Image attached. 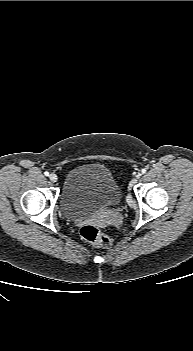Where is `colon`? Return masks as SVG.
<instances>
[{
    "label": "colon",
    "mask_w": 193,
    "mask_h": 351,
    "mask_svg": "<svg viewBox=\"0 0 193 351\" xmlns=\"http://www.w3.org/2000/svg\"><path fill=\"white\" fill-rule=\"evenodd\" d=\"M80 234L84 240L98 247L107 248L111 243L110 238L100 228L92 224L83 226Z\"/></svg>",
    "instance_id": "5ec220e1"
}]
</instances>
